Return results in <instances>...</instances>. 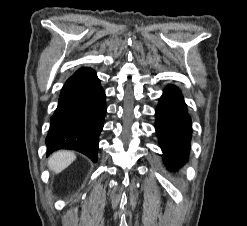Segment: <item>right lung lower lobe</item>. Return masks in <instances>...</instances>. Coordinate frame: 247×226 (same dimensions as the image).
<instances>
[{
    "mask_svg": "<svg viewBox=\"0 0 247 226\" xmlns=\"http://www.w3.org/2000/svg\"><path fill=\"white\" fill-rule=\"evenodd\" d=\"M106 113L105 92L93 69L79 68L64 84L46 137L47 153L79 151L97 161Z\"/></svg>",
    "mask_w": 247,
    "mask_h": 226,
    "instance_id": "1",
    "label": "right lung lower lobe"
}]
</instances>
